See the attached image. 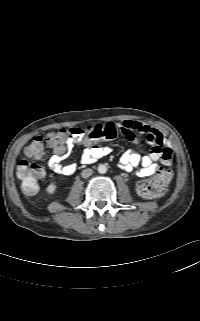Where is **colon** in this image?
<instances>
[{"label": "colon", "mask_w": 200, "mask_h": 321, "mask_svg": "<svg viewBox=\"0 0 200 321\" xmlns=\"http://www.w3.org/2000/svg\"><path fill=\"white\" fill-rule=\"evenodd\" d=\"M79 132L88 134L89 138L95 142L115 138V134L104 133L99 129L91 131L81 129ZM71 134V130L59 129L48 133L45 137H36L27 146L26 154L35 160H40L44 157L45 145L52 149L65 150ZM172 154L171 151L167 152L163 161L164 167L160 168L155 176L142 180L137 184L136 190L141 197L157 198L163 196L167 192L172 180V171L169 168ZM17 176L21 180L24 193L33 195L38 191V184L44 176V171L39 164L23 159L19 161L17 165Z\"/></svg>", "instance_id": "colon-1"}]
</instances>
